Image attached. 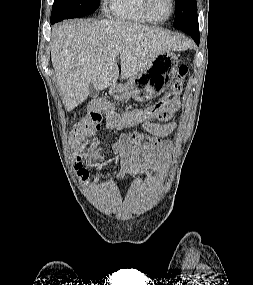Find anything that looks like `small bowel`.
<instances>
[{
  "label": "small bowel",
  "instance_id": "obj_1",
  "mask_svg": "<svg viewBox=\"0 0 253 285\" xmlns=\"http://www.w3.org/2000/svg\"><path fill=\"white\" fill-rule=\"evenodd\" d=\"M180 101L175 99L163 109L159 118L147 119L141 122L148 134L133 131L122 133L115 141L114 151L121 157L123 172L121 178L135 177L147 173L151 169L157 153L155 150L165 144L161 140L168 136L175 128L174 122L159 123L158 120H168L179 108ZM120 129L122 127H113Z\"/></svg>",
  "mask_w": 253,
  "mask_h": 285
}]
</instances>
